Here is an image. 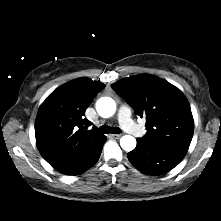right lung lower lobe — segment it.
Wrapping results in <instances>:
<instances>
[{"instance_id": "right-lung-lower-lobe-1", "label": "right lung lower lobe", "mask_w": 221, "mask_h": 221, "mask_svg": "<svg viewBox=\"0 0 221 221\" xmlns=\"http://www.w3.org/2000/svg\"><path fill=\"white\" fill-rule=\"evenodd\" d=\"M106 141V140H105ZM102 148L99 150V152L95 155V157L93 159H91L90 161H88L85 165H83L82 167H80L78 170H76L73 174L71 175H78L81 174L83 172H85L86 170H88L89 168H91L99 159L100 154H101Z\"/></svg>"}]
</instances>
